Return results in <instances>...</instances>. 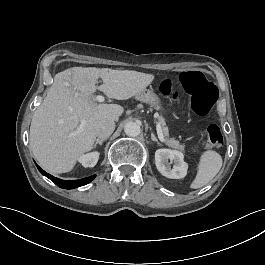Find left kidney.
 Masks as SVG:
<instances>
[{
    "label": "left kidney",
    "instance_id": "left-kidney-1",
    "mask_svg": "<svg viewBox=\"0 0 265 265\" xmlns=\"http://www.w3.org/2000/svg\"><path fill=\"white\" fill-rule=\"evenodd\" d=\"M171 163H174L173 168L170 166ZM155 164L157 170L167 178L180 179L184 178L187 174L188 164L184 161L183 153L177 150H156Z\"/></svg>",
    "mask_w": 265,
    "mask_h": 265
}]
</instances>
